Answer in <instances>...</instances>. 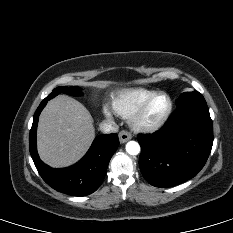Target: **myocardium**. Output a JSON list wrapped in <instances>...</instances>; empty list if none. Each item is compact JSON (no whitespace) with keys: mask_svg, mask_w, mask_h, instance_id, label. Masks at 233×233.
<instances>
[{"mask_svg":"<svg viewBox=\"0 0 233 233\" xmlns=\"http://www.w3.org/2000/svg\"><path fill=\"white\" fill-rule=\"evenodd\" d=\"M159 96H165L168 100V107L165 111V113L162 115V117L157 120L154 123L146 124L143 122V116L149 107V105L152 103L154 99H156ZM173 110V101L171 97L166 92H155L151 96H149L136 110L135 112L129 117V123L132 127V129L136 132L140 133H152L164 126V124L169 119L171 113Z\"/></svg>","mask_w":233,"mask_h":233,"instance_id":"obj_1","label":"myocardium"}]
</instances>
